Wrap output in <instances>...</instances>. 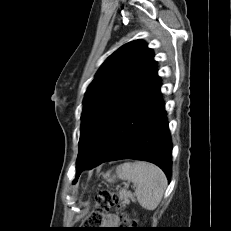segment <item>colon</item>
<instances>
[{"mask_svg":"<svg viewBox=\"0 0 231 231\" xmlns=\"http://www.w3.org/2000/svg\"><path fill=\"white\" fill-rule=\"evenodd\" d=\"M124 205L120 201L116 192L103 189L101 190L95 201L94 208L89 216L85 219V224L88 226H100L104 222L106 214L113 208L123 209ZM121 220L124 223L130 222L126 213L121 214Z\"/></svg>","mask_w":231,"mask_h":231,"instance_id":"colon-1","label":"colon"}]
</instances>
